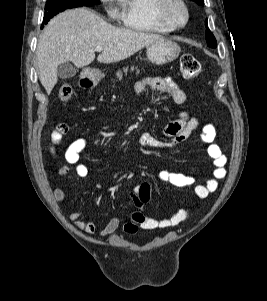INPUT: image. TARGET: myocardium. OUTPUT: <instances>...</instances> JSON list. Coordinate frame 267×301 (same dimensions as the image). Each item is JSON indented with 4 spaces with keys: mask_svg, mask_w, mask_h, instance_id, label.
Masks as SVG:
<instances>
[{
    "mask_svg": "<svg viewBox=\"0 0 267 301\" xmlns=\"http://www.w3.org/2000/svg\"><path fill=\"white\" fill-rule=\"evenodd\" d=\"M175 6L182 11L183 20L181 22L173 16L172 10ZM157 12L160 19L173 29L183 28L189 20V9L184 0H159Z\"/></svg>",
    "mask_w": 267,
    "mask_h": 301,
    "instance_id": "f54148a6",
    "label": "myocardium"
}]
</instances>
